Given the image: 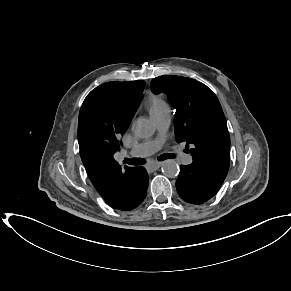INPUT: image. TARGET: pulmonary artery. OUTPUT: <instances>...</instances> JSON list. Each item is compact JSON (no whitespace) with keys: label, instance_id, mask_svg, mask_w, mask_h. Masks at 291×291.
<instances>
[{"label":"pulmonary artery","instance_id":"1","mask_svg":"<svg viewBox=\"0 0 291 291\" xmlns=\"http://www.w3.org/2000/svg\"><path fill=\"white\" fill-rule=\"evenodd\" d=\"M151 118L156 125L158 137L154 140H148L135 146L128 153L129 157H147L161 148L163 143V137L166 134L171 121L170 111L165 110L161 113L151 115ZM180 161L184 164H190L192 162V157L188 154H181Z\"/></svg>","mask_w":291,"mask_h":291}]
</instances>
